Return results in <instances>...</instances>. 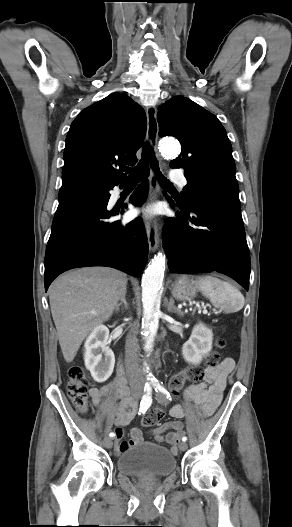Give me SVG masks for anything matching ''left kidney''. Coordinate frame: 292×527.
Here are the masks:
<instances>
[{
    "mask_svg": "<svg viewBox=\"0 0 292 527\" xmlns=\"http://www.w3.org/2000/svg\"><path fill=\"white\" fill-rule=\"evenodd\" d=\"M213 333L203 323L194 326L191 336L183 344L182 355L186 362L198 365L212 349Z\"/></svg>",
    "mask_w": 292,
    "mask_h": 527,
    "instance_id": "1",
    "label": "left kidney"
}]
</instances>
